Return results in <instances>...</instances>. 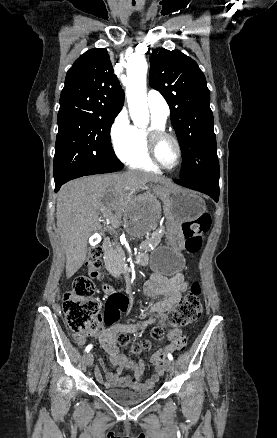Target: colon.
Here are the masks:
<instances>
[{
    "instance_id": "obj_1",
    "label": "colon",
    "mask_w": 277,
    "mask_h": 438,
    "mask_svg": "<svg viewBox=\"0 0 277 438\" xmlns=\"http://www.w3.org/2000/svg\"><path fill=\"white\" fill-rule=\"evenodd\" d=\"M210 226L211 219L206 213L201 214L194 222H184L182 224L181 229L185 238V249L188 252L196 253L200 250ZM102 260V247L99 245L93 246L87 258L88 270L86 274L75 278L72 287L64 294L63 315L69 326L74 330H93L95 333L100 331L102 326L101 315L104 310L100 311L99 304L93 298V295L95 292L94 281L102 279L103 274L100 272ZM199 292L198 287L193 288L190 294L186 295L175 305L168 313L169 326L173 328L185 327L201 315L203 306L199 299ZM109 300L112 299L108 298L107 301ZM165 333L166 327H156L152 331V338L156 341L162 340ZM117 342L122 347H127L129 336L121 333L117 337ZM186 343L187 336L185 334H177L173 339V345L178 349L184 348ZM149 346L150 342L145 341L133 344L132 349L134 352H139ZM164 358V353L157 352L152 356L151 361L154 364H159L164 361Z\"/></svg>"
}]
</instances>
